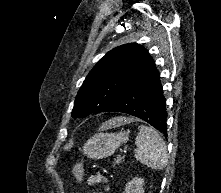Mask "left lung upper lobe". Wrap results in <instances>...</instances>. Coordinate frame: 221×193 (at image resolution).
I'll return each mask as SVG.
<instances>
[{"label":"left lung upper lobe","instance_id":"obj_1","mask_svg":"<svg viewBox=\"0 0 221 193\" xmlns=\"http://www.w3.org/2000/svg\"><path fill=\"white\" fill-rule=\"evenodd\" d=\"M154 66L148 51L137 43L112 49L87 75L71 116L83 118L105 112L134 80Z\"/></svg>","mask_w":221,"mask_h":193}]
</instances>
